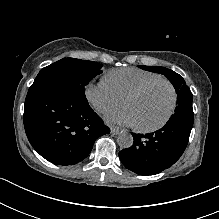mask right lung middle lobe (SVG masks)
<instances>
[{
  "mask_svg": "<svg viewBox=\"0 0 219 219\" xmlns=\"http://www.w3.org/2000/svg\"><path fill=\"white\" fill-rule=\"evenodd\" d=\"M102 66L93 61L64 58L41 69L30 88L53 86L71 91L83 99L85 86L102 73Z\"/></svg>",
  "mask_w": 219,
  "mask_h": 219,
  "instance_id": "obj_1",
  "label": "right lung middle lobe"
}]
</instances>
